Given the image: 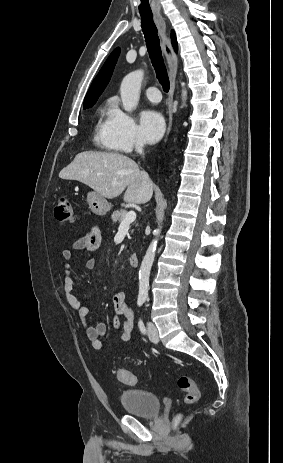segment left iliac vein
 I'll list each match as a JSON object with an SVG mask.
<instances>
[{
	"instance_id": "4c4485c4",
	"label": "left iliac vein",
	"mask_w": 283,
	"mask_h": 463,
	"mask_svg": "<svg viewBox=\"0 0 283 463\" xmlns=\"http://www.w3.org/2000/svg\"><path fill=\"white\" fill-rule=\"evenodd\" d=\"M147 333L152 342L157 343L159 341L158 330L154 323L147 322Z\"/></svg>"
}]
</instances>
